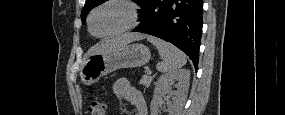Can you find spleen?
I'll return each mask as SVG.
<instances>
[{
    "label": "spleen",
    "mask_w": 285,
    "mask_h": 115,
    "mask_svg": "<svg viewBox=\"0 0 285 115\" xmlns=\"http://www.w3.org/2000/svg\"><path fill=\"white\" fill-rule=\"evenodd\" d=\"M147 39L158 49L161 56L162 61L156 66L159 72H172L186 64L185 54L171 43L153 36H149Z\"/></svg>",
    "instance_id": "1"
}]
</instances>
